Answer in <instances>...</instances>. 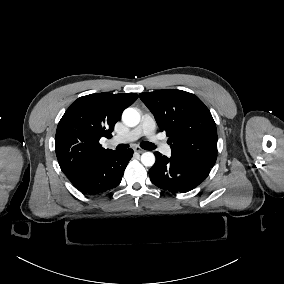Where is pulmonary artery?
<instances>
[{
	"instance_id": "1",
	"label": "pulmonary artery",
	"mask_w": 284,
	"mask_h": 284,
	"mask_svg": "<svg viewBox=\"0 0 284 284\" xmlns=\"http://www.w3.org/2000/svg\"><path fill=\"white\" fill-rule=\"evenodd\" d=\"M155 130V123L147 115L142 119V122L136 128L124 133L115 135L112 138L114 143H125L138 139L139 137L146 135L147 140L152 142L161 151H166L168 149V143L163 139H160L158 135L153 133Z\"/></svg>"
}]
</instances>
